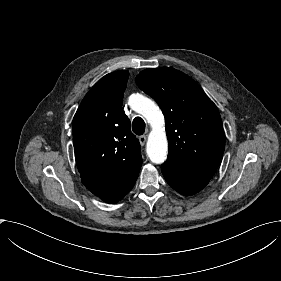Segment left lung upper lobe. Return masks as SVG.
I'll list each match as a JSON object with an SVG mask.
<instances>
[{
  "instance_id": "1",
  "label": "left lung upper lobe",
  "mask_w": 281,
  "mask_h": 281,
  "mask_svg": "<svg viewBox=\"0 0 281 281\" xmlns=\"http://www.w3.org/2000/svg\"><path fill=\"white\" fill-rule=\"evenodd\" d=\"M136 82L155 99L165 116L168 159L191 166L218 167L225 134L217 107L201 87L170 67L145 69Z\"/></svg>"
}]
</instances>
